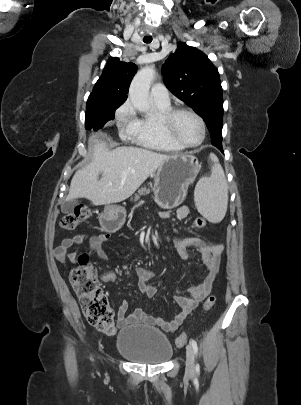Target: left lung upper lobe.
I'll return each mask as SVG.
<instances>
[{"mask_svg":"<svg viewBox=\"0 0 301 405\" xmlns=\"http://www.w3.org/2000/svg\"><path fill=\"white\" fill-rule=\"evenodd\" d=\"M166 87L205 121L215 138L222 142L223 96L217 68L200 50L180 43L163 64Z\"/></svg>","mask_w":301,"mask_h":405,"instance_id":"obj_1","label":"left lung upper lobe"}]
</instances>
